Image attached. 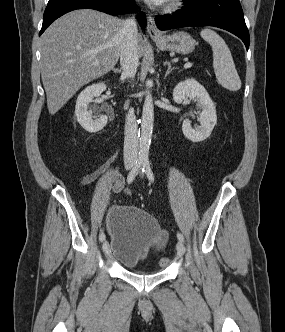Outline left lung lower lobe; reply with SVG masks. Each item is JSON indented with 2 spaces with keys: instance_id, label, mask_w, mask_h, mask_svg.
<instances>
[{
  "instance_id": "0a47b994",
  "label": "left lung lower lobe",
  "mask_w": 285,
  "mask_h": 332,
  "mask_svg": "<svg viewBox=\"0 0 285 332\" xmlns=\"http://www.w3.org/2000/svg\"><path fill=\"white\" fill-rule=\"evenodd\" d=\"M160 30L187 26H214L238 36L249 48V32L239 0H185L182 10L157 16Z\"/></svg>"
}]
</instances>
